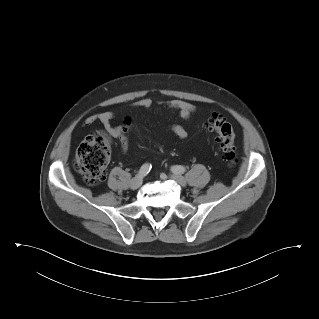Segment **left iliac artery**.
Segmentation results:
<instances>
[{
  "label": "left iliac artery",
  "instance_id": "1",
  "mask_svg": "<svg viewBox=\"0 0 319 319\" xmlns=\"http://www.w3.org/2000/svg\"><path fill=\"white\" fill-rule=\"evenodd\" d=\"M171 170L173 173H176V174H183L186 171L185 167L181 165L172 166Z\"/></svg>",
  "mask_w": 319,
  "mask_h": 319
}]
</instances>
